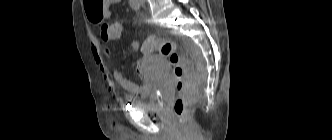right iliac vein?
Returning a JSON list of instances; mask_svg holds the SVG:
<instances>
[{
    "label": "right iliac vein",
    "instance_id": "right-iliac-vein-1",
    "mask_svg": "<svg viewBox=\"0 0 332 140\" xmlns=\"http://www.w3.org/2000/svg\"><path fill=\"white\" fill-rule=\"evenodd\" d=\"M140 2H144L145 0H139Z\"/></svg>",
    "mask_w": 332,
    "mask_h": 140
}]
</instances>
